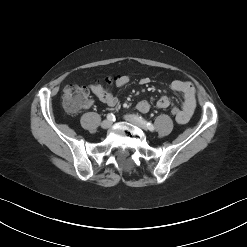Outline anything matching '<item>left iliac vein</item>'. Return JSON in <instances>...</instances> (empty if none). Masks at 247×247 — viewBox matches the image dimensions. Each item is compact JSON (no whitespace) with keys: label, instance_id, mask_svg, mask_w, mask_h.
Listing matches in <instances>:
<instances>
[{"label":"left iliac vein","instance_id":"left-iliac-vein-1","mask_svg":"<svg viewBox=\"0 0 247 247\" xmlns=\"http://www.w3.org/2000/svg\"><path fill=\"white\" fill-rule=\"evenodd\" d=\"M124 119L142 129H145V125L143 123H141L136 117H134L133 115H125Z\"/></svg>","mask_w":247,"mask_h":247}]
</instances>
